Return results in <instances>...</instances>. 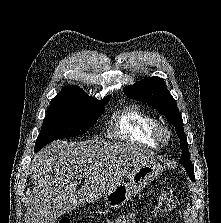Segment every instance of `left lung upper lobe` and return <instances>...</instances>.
Wrapping results in <instances>:
<instances>
[{
    "label": "left lung upper lobe",
    "mask_w": 221,
    "mask_h": 223,
    "mask_svg": "<svg viewBox=\"0 0 221 223\" xmlns=\"http://www.w3.org/2000/svg\"><path fill=\"white\" fill-rule=\"evenodd\" d=\"M124 93L129 98L148 103L161 114L165 115L167 120L175 126L183 151L179 162L184 166L191 180L195 181L193 165L188 152L187 139L183 130L182 116L164 80L159 77L145 78L132 86H126Z\"/></svg>",
    "instance_id": "left-lung-upper-lobe-1"
}]
</instances>
